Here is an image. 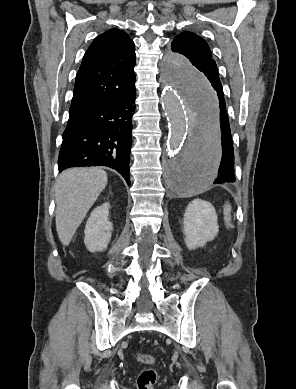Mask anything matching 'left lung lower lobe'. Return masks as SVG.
I'll list each match as a JSON object with an SVG mask.
<instances>
[{
	"instance_id": "1",
	"label": "left lung lower lobe",
	"mask_w": 296,
	"mask_h": 389,
	"mask_svg": "<svg viewBox=\"0 0 296 389\" xmlns=\"http://www.w3.org/2000/svg\"><path fill=\"white\" fill-rule=\"evenodd\" d=\"M206 80L216 98L218 125L215 128H205L201 140L196 134H193L187 152L178 162L177 174L180 175V172H184L186 178L194 175L195 166L201 157L202 150L209 147L214 141H217L219 143V157L221 162L219 163V169L216 171L215 175L217 178L214 183L234 182V149L231 127L218 71L213 72ZM178 175L179 182L183 184L181 177Z\"/></svg>"
}]
</instances>
